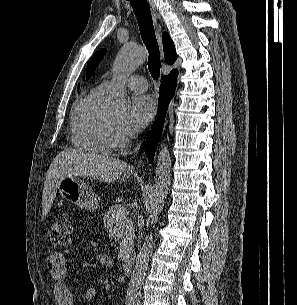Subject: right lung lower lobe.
<instances>
[{
  "label": "right lung lower lobe",
  "instance_id": "right-lung-lower-lobe-1",
  "mask_svg": "<svg viewBox=\"0 0 297 305\" xmlns=\"http://www.w3.org/2000/svg\"><path fill=\"white\" fill-rule=\"evenodd\" d=\"M176 79L177 70H173L170 75L164 76L161 83L159 95V116L147 137V141L143 144V147H145L147 150L150 162L153 161L156 145L163 129L164 117L167 111V107L175 91Z\"/></svg>",
  "mask_w": 297,
  "mask_h": 305
}]
</instances>
